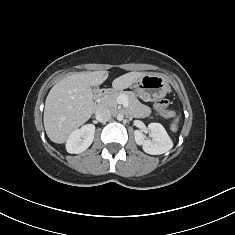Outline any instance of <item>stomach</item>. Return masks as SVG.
<instances>
[{
  "label": "stomach",
  "instance_id": "1",
  "mask_svg": "<svg viewBox=\"0 0 235 235\" xmlns=\"http://www.w3.org/2000/svg\"><path fill=\"white\" fill-rule=\"evenodd\" d=\"M137 96L143 101H154L164 97L169 91V83L161 74H146L134 84Z\"/></svg>",
  "mask_w": 235,
  "mask_h": 235
}]
</instances>
